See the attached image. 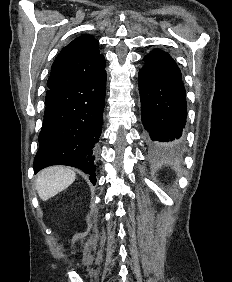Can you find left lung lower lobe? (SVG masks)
I'll return each instance as SVG.
<instances>
[{"label":"left lung lower lobe","mask_w":232,"mask_h":282,"mask_svg":"<svg viewBox=\"0 0 232 282\" xmlns=\"http://www.w3.org/2000/svg\"><path fill=\"white\" fill-rule=\"evenodd\" d=\"M143 60L145 65L138 77L147 144L154 150L179 147L184 142L187 117L181 71L172 57L160 49H154Z\"/></svg>","instance_id":"0a47b994"}]
</instances>
